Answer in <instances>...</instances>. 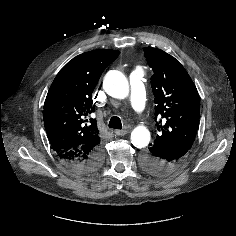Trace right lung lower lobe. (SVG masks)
Returning <instances> with one entry per match:
<instances>
[{"label": "right lung lower lobe", "instance_id": "obj_1", "mask_svg": "<svg viewBox=\"0 0 236 236\" xmlns=\"http://www.w3.org/2000/svg\"><path fill=\"white\" fill-rule=\"evenodd\" d=\"M60 158V157H59ZM104 159L103 149L101 147L94 150V152L86 159L82 161L78 160H62L63 163L72 171L77 173H93L97 171Z\"/></svg>", "mask_w": 236, "mask_h": 236}]
</instances>
